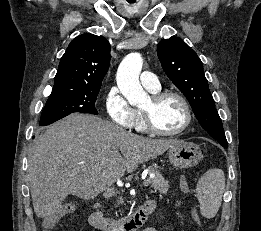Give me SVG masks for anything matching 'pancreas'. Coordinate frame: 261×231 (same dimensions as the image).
Returning a JSON list of instances; mask_svg holds the SVG:
<instances>
[{
    "label": "pancreas",
    "mask_w": 261,
    "mask_h": 231,
    "mask_svg": "<svg viewBox=\"0 0 261 231\" xmlns=\"http://www.w3.org/2000/svg\"><path fill=\"white\" fill-rule=\"evenodd\" d=\"M148 172L149 174H154V177L150 178V185L155 190V192L158 191L160 194H167V191L169 190L168 181L163 178V176L155 167H148ZM117 202L119 204L123 203L121 198Z\"/></svg>",
    "instance_id": "pancreas-1"
}]
</instances>
